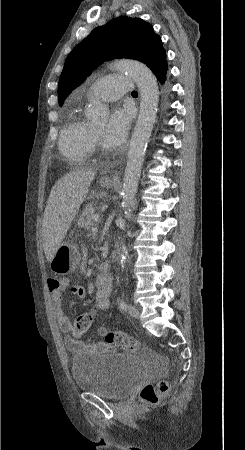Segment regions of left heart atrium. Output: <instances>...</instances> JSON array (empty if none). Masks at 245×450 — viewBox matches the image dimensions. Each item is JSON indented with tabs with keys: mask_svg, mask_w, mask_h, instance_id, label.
<instances>
[{
	"mask_svg": "<svg viewBox=\"0 0 245 450\" xmlns=\"http://www.w3.org/2000/svg\"><path fill=\"white\" fill-rule=\"evenodd\" d=\"M132 121V111L128 107L113 111L103 133L104 144L111 149L121 146L127 138Z\"/></svg>",
	"mask_w": 245,
	"mask_h": 450,
	"instance_id": "1",
	"label": "left heart atrium"
}]
</instances>
